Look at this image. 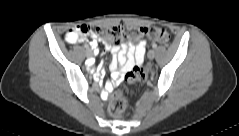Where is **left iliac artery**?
I'll return each instance as SVG.
<instances>
[{"label": "left iliac artery", "instance_id": "1", "mask_svg": "<svg viewBox=\"0 0 239 136\" xmlns=\"http://www.w3.org/2000/svg\"><path fill=\"white\" fill-rule=\"evenodd\" d=\"M152 46H153V48H156V47H157V44H153Z\"/></svg>", "mask_w": 239, "mask_h": 136}]
</instances>
